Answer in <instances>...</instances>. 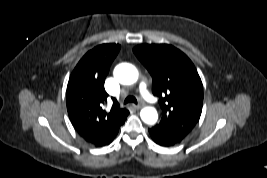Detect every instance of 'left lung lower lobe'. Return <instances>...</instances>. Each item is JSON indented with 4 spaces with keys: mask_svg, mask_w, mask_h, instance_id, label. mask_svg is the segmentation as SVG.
<instances>
[{
    "mask_svg": "<svg viewBox=\"0 0 267 178\" xmlns=\"http://www.w3.org/2000/svg\"><path fill=\"white\" fill-rule=\"evenodd\" d=\"M149 133H150L152 140L156 144L161 145V146L169 147L180 142L176 138L166 133L165 130L159 126H154L150 128Z\"/></svg>",
    "mask_w": 267,
    "mask_h": 178,
    "instance_id": "1",
    "label": "left lung lower lobe"
}]
</instances>
